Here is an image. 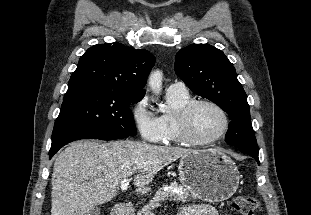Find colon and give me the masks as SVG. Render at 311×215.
Wrapping results in <instances>:
<instances>
[{"instance_id": "1", "label": "colon", "mask_w": 311, "mask_h": 215, "mask_svg": "<svg viewBox=\"0 0 311 215\" xmlns=\"http://www.w3.org/2000/svg\"><path fill=\"white\" fill-rule=\"evenodd\" d=\"M232 207L240 215H254L257 200L252 196H237L232 201Z\"/></svg>"}]
</instances>
